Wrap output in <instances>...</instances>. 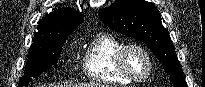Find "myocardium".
Masks as SVG:
<instances>
[{
    "mask_svg": "<svg viewBox=\"0 0 205 87\" xmlns=\"http://www.w3.org/2000/svg\"><path fill=\"white\" fill-rule=\"evenodd\" d=\"M130 49L139 50L147 58L148 63H149V69H148V72L146 73L145 76L137 77V76H134L131 72H129L127 70V68L125 66V59L124 58H125L126 52ZM115 64H116V67H117L118 71L120 72V74L131 82L146 81L151 76V74L153 73V70H154V60H153V57H152V54L150 53V51L145 46L138 44V43H134V42L125 43L118 49L116 56H115Z\"/></svg>",
    "mask_w": 205,
    "mask_h": 87,
    "instance_id": "f54148a6",
    "label": "myocardium"
}]
</instances>
